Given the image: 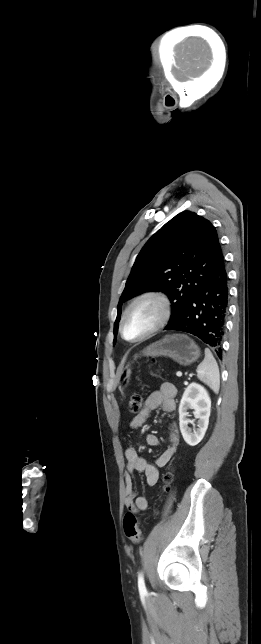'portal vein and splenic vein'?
<instances>
[{"mask_svg": "<svg viewBox=\"0 0 261 644\" xmlns=\"http://www.w3.org/2000/svg\"><path fill=\"white\" fill-rule=\"evenodd\" d=\"M176 375H177L178 377H181V376H182V372H181V371H178V372L176 373Z\"/></svg>", "mask_w": 261, "mask_h": 644, "instance_id": "1", "label": "portal vein and splenic vein"}]
</instances>
